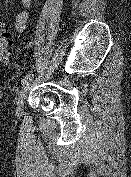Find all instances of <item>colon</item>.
<instances>
[{"label":"colon","mask_w":131,"mask_h":177,"mask_svg":"<svg viewBox=\"0 0 131 177\" xmlns=\"http://www.w3.org/2000/svg\"><path fill=\"white\" fill-rule=\"evenodd\" d=\"M9 33L4 26L0 27V63H6L10 55Z\"/></svg>","instance_id":"5ec220e1"}]
</instances>
